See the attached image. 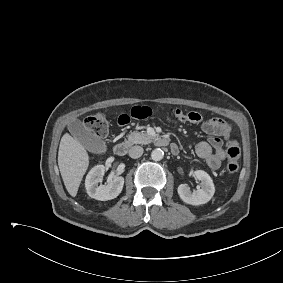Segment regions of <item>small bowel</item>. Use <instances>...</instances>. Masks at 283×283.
I'll return each mask as SVG.
<instances>
[{
	"mask_svg": "<svg viewBox=\"0 0 283 283\" xmlns=\"http://www.w3.org/2000/svg\"><path fill=\"white\" fill-rule=\"evenodd\" d=\"M153 110L146 106H135L128 112H122L118 117V124L126 126L131 119H144L151 116ZM170 118L180 123H190L198 125L203 132L210 137L207 141L200 142L196 148V154L203 159L210 169L216 170L221 166L225 159L223 143L230 137L231 126L225 120L217 117L204 120L203 117L195 112H183L179 109H172L169 112Z\"/></svg>",
	"mask_w": 283,
	"mask_h": 283,
	"instance_id": "1",
	"label": "small bowel"
}]
</instances>
